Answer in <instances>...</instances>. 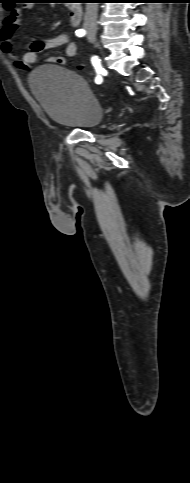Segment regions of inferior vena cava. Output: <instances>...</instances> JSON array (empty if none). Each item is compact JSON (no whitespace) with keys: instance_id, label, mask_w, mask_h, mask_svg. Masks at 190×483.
Wrapping results in <instances>:
<instances>
[{"instance_id":"1","label":"inferior vena cava","mask_w":190,"mask_h":483,"mask_svg":"<svg viewBox=\"0 0 190 483\" xmlns=\"http://www.w3.org/2000/svg\"><path fill=\"white\" fill-rule=\"evenodd\" d=\"M98 3H87L84 17V28L96 30Z\"/></svg>"}]
</instances>
